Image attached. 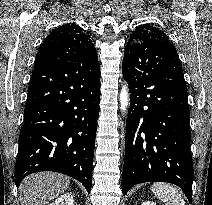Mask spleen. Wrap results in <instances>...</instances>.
I'll return each mask as SVG.
<instances>
[{
	"label": "spleen",
	"instance_id": "obj_1",
	"mask_svg": "<svg viewBox=\"0 0 212 205\" xmlns=\"http://www.w3.org/2000/svg\"><path fill=\"white\" fill-rule=\"evenodd\" d=\"M151 191L165 205H185V201L181 196L180 191L171 184L154 183L151 186Z\"/></svg>",
	"mask_w": 212,
	"mask_h": 205
}]
</instances>
